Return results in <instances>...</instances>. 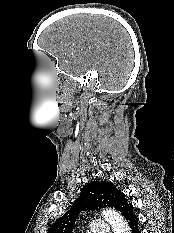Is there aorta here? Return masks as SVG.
Segmentation results:
<instances>
[{
  "mask_svg": "<svg viewBox=\"0 0 174 233\" xmlns=\"http://www.w3.org/2000/svg\"><path fill=\"white\" fill-rule=\"evenodd\" d=\"M103 217L111 225L113 233H130L129 226L124 218L114 209L102 210Z\"/></svg>",
  "mask_w": 174,
  "mask_h": 233,
  "instance_id": "aorta-1",
  "label": "aorta"
}]
</instances>
